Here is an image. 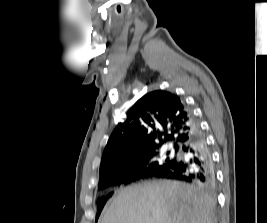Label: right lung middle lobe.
<instances>
[{
    "label": "right lung middle lobe",
    "mask_w": 267,
    "mask_h": 223,
    "mask_svg": "<svg viewBox=\"0 0 267 223\" xmlns=\"http://www.w3.org/2000/svg\"><path fill=\"white\" fill-rule=\"evenodd\" d=\"M178 157L177 150H169L166 152H161L160 150L150 154L149 156L140 158L136 165L137 170L134 174L128 175L131 177V182L139 179H145L149 177H153L158 174L161 170L173 165ZM126 174L123 173L122 169L117 170L113 173L108 174L104 178L100 179L99 187L109 186L110 184L108 181H112L117 177L125 176ZM108 197H101L98 199V210L96 219L98 218L103 206L105 205Z\"/></svg>",
    "instance_id": "dd1d6c3e"
}]
</instances>
